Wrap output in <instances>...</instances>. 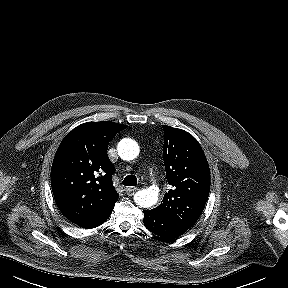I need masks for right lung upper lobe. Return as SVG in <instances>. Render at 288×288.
Returning <instances> with one entry per match:
<instances>
[{
	"label": "right lung upper lobe",
	"mask_w": 288,
	"mask_h": 288,
	"mask_svg": "<svg viewBox=\"0 0 288 288\" xmlns=\"http://www.w3.org/2000/svg\"><path fill=\"white\" fill-rule=\"evenodd\" d=\"M123 124L87 122L74 128L60 144L51 169V186L61 213L75 224L98 218L118 200L107 155L108 143Z\"/></svg>",
	"instance_id": "1"
}]
</instances>
